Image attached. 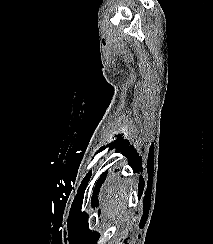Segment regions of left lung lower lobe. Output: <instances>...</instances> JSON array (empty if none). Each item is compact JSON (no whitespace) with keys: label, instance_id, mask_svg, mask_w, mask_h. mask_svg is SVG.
<instances>
[{"label":"left lung lower lobe","instance_id":"left-lung-lower-lobe-1","mask_svg":"<svg viewBox=\"0 0 213 244\" xmlns=\"http://www.w3.org/2000/svg\"><path fill=\"white\" fill-rule=\"evenodd\" d=\"M103 181H104V177L102 176V177L100 178V181L97 182V185H96V187H95V190H94L95 195L98 194L99 189H100L101 184H102ZM93 206H95V204H94V197H93Z\"/></svg>","mask_w":213,"mask_h":244}]
</instances>
